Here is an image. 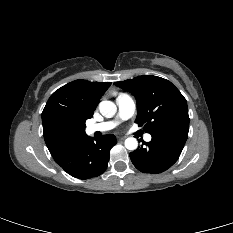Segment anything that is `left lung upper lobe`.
Listing matches in <instances>:
<instances>
[{
  "label": "left lung upper lobe",
  "instance_id": "5c2ea615",
  "mask_svg": "<svg viewBox=\"0 0 233 233\" xmlns=\"http://www.w3.org/2000/svg\"><path fill=\"white\" fill-rule=\"evenodd\" d=\"M114 84L135 96L138 106L136 123L144 124L147 133L156 135L189 130L186 99L170 81L143 75Z\"/></svg>",
  "mask_w": 233,
  "mask_h": 233
}]
</instances>
